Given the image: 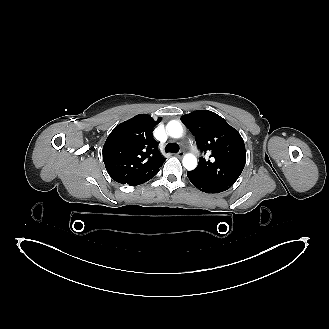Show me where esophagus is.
Segmentation results:
<instances>
[{"mask_svg":"<svg viewBox=\"0 0 329 329\" xmlns=\"http://www.w3.org/2000/svg\"><path fill=\"white\" fill-rule=\"evenodd\" d=\"M183 155H184V152H182V151H180V152H178V153H176L175 154V156H177V157H183Z\"/></svg>","mask_w":329,"mask_h":329,"instance_id":"obj_1","label":"esophagus"}]
</instances>
